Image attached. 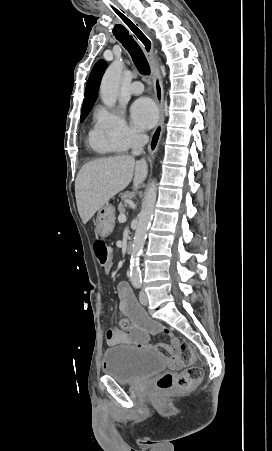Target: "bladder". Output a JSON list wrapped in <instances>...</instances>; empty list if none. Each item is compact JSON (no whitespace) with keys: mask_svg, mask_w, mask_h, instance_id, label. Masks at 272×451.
Listing matches in <instances>:
<instances>
[{"mask_svg":"<svg viewBox=\"0 0 272 451\" xmlns=\"http://www.w3.org/2000/svg\"><path fill=\"white\" fill-rule=\"evenodd\" d=\"M105 374L114 376L118 384H134L164 373L167 366L162 354L116 345L103 353Z\"/></svg>","mask_w":272,"mask_h":451,"instance_id":"obj_1","label":"bladder"}]
</instances>
